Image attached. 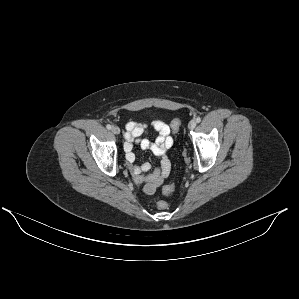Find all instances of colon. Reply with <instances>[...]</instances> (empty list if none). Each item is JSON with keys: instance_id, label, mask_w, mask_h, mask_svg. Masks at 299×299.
<instances>
[{"instance_id": "1", "label": "colon", "mask_w": 299, "mask_h": 299, "mask_svg": "<svg viewBox=\"0 0 299 299\" xmlns=\"http://www.w3.org/2000/svg\"><path fill=\"white\" fill-rule=\"evenodd\" d=\"M179 126H180V119L176 118L171 122V128L173 131H177ZM173 191H174V186L172 184L166 185L163 188V193L166 196L171 195L173 193ZM154 204L160 210H166L169 207V204L164 200L155 201Z\"/></svg>"}]
</instances>
